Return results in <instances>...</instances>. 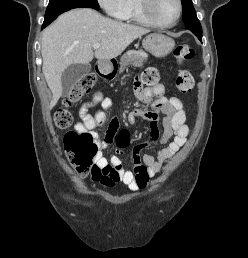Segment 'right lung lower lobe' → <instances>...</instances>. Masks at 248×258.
Here are the masks:
<instances>
[{
  "label": "right lung lower lobe",
  "mask_w": 248,
  "mask_h": 258,
  "mask_svg": "<svg viewBox=\"0 0 248 258\" xmlns=\"http://www.w3.org/2000/svg\"><path fill=\"white\" fill-rule=\"evenodd\" d=\"M57 17L50 19V20H45L43 25H42V29L45 28L46 26H48L52 21H54Z\"/></svg>",
  "instance_id": "1"
}]
</instances>
